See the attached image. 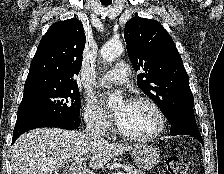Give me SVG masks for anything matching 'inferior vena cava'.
<instances>
[{"instance_id":"602c4592","label":"inferior vena cava","mask_w":224,"mask_h":174,"mask_svg":"<svg viewBox=\"0 0 224 174\" xmlns=\"http://www.w3.org/2000/svg\"><path fill=\"white\" fill-rule=\"evenodd\" d=\"M85 132L94 141H97V142H103L104 141V139L100 136L99 124L95 121H90V122L87 123Z\"/></svg>"}]
</instances>
